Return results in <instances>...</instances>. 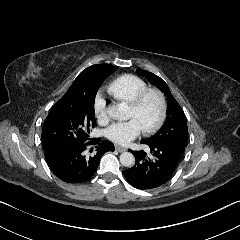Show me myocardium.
<instances>
[{
    "mask_svg": "<svg viewBox=\"0 0 240 240\" xmlns=\"http://www.w3.org/2000/svg\"><path fill=\"white\" fill-rule=\"evenodd\" d=\"M148 95H154L157 98L159 103V116L154 125L149 128L142 129V132L144 134H153L162 127L166 119L167 104L163 93L155 88H145L135 96L133 101L128 105V108L131 110H137Z\"/></svg>",
    "mask_w": 240,
    "mask_h": 240,
    "instance_id": "obj_1",
    "label": "myocardium"
}]
</instances>
